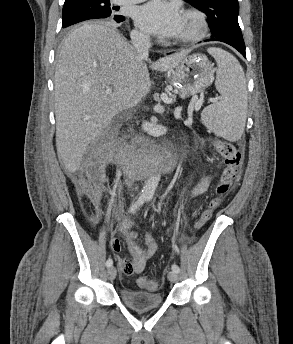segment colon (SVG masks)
Returning <instances> with one entry per match:
<instances>
[{"mask_svg":"<svg viewBox=\"0 0 293 344\" xmlns=\"http://www.w3.org/2000/svg\"><path fill=\"white\" fill-rule=\"evenodd\" d=\"M214 146L223 158L224 167L216 189L217 196L210 201L208 207L202 213L196 223V229L202 228L210 220L215 209L229 195L242 164V153L234 143L217 140L214 142ZM138 284L140 287L149 290H155L158 287V283L149 278H140Z\"/></svg>","mask_w":293,"mask_h":344,"instance_id":"5ec220e1","label":"colon"}]
</instances>
